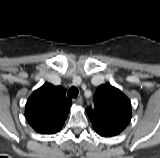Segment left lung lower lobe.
<instances>
[{
	"label": "left lung lower lobe",
	"mask_w": 160,
	"mask_h": 158,
	"mask_svg": "<svg viewBox=\"0 0 160 158\" xmlns=\"http://www.w3.org/2000/svg\"><path fill=\"white\" fill-rule=\"evenodd\" d=\"M94 130H95L99 135H101V136H103V137H111V136H112L111 134H109V133H107V132H104V131H101V130H99V129H97V128H94Z\"/></svg>",
	"instance_id": "obj_1"
}]
</instances>
